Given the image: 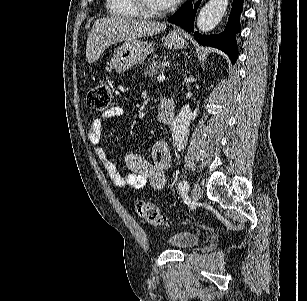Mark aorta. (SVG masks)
<instances>
[{
  "label": "aorta",
  "instance_id": "obj_1",
  "mask_svg": "<svg viewBox=\"0 0 307 301\" xmlns=\"http://www.w3.org/2000/svg\"><path fill=\"white\" fill-rule=\"evenodd\" d=\"M227 6L228 0H208L197 16V26L199 30H201V32H208V30H212L216 24H219L227 10ZM191 114L190 104H183L170 126L172 140L177 146H181V144L187 142Z\"/></svg>",
  "mask_w": 307,
  "mask_h": 301
}]
</instances>
